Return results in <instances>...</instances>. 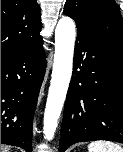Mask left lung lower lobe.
Instances as JSON below:
<instances>
[{
    "mask_svg": "<svg viewBox=\"0 0 123 152\" xmlns=\"http://www.w3.org/2000/svg\"><path fill=\"white\" fill-rule=\"evenodd\" d=\"M59 151L77 142L123 143V48L77 25Z\"/></svg>",
    "mask_w": 123,
    "mask_h": 152,
    "instance_id": "1",
    "label": "left lung lower lobe"
}]
</instances>
